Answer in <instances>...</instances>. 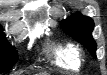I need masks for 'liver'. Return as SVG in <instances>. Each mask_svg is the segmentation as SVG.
<instances>
[{
    "label": "liver",
    "instance_id": "liver-1",
    "mask_svg": "<svg viewBox=\"0 0 107 75\" xmlns=\"http://www.w3.org/2000/svg\"><path fill=\"white\" fill-rule=\"evenodd\" d=\"M40 75H49L48 73H43V74H40Z\"/></svg>",
    "mask_w": 107,
    "mask_h": 75
}]
</instances>
